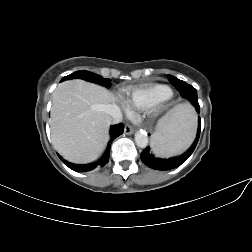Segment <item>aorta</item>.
<instances>
[{
	"instance_id": "1",
	"label": "aorta",
	"mask_w": 252,
	"mask_h": 252,
	"mask_svg": "<svg viewBox=\"0 0 252 252\" xmlns=\"http://www.w3.org/2000/svg\"><path fill=\"white\" fill-rule=\"evenodd\" d=\"M135 142L137 146L145 148L148 145V137L145 132H137L135 134Z\"/></svg>"
}]
</instances>
